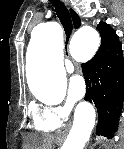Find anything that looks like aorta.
I'll return each mask as SVG.
<instances>
[{"mask_svg": "<svg viewBox=\"0 0 124 149\" xmlns=\"http://www.w3.org/2000/svg\"><path fill=\"white\" fill-rule=\"evenodd\" d=\"M100 44L99 33L91 26L79 28L70 42L74 52L93 54ZM32 64L29 88L41 101H60L66 93V73L62 62V30L57 22H47L34 29L30 44ZM95 110L88 102L80 103L62 149H84L95 124Z\"/></svg>", "mask_w": 124, "mask_h": 149, "instance_id": "762f6f07", "label": "aorta"}]
</instances>
